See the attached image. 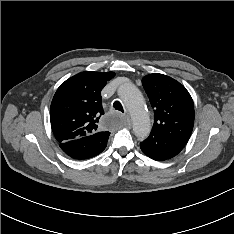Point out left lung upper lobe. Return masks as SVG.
I'll return each instance as SVG.
<instances>
[{
  "label": "left lung upper lobe",
  "mask_w": 234,
  "mask_h": 234,
  "mask_svg": "<svg viewBox=\"0 0 234 234\" xmlns=\"http://www.w3.org/2000/svg\"><path fill=\"white\" fill-rule=\"evenodd\" d=\"M142 84L154 108L150 134L184 147L194 125V104L189 92L175 79L158 73L145 76Z\"/></svg>",
  "instance_id": "1"
}]
</instances>
